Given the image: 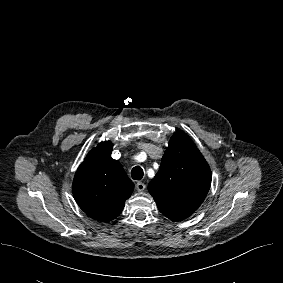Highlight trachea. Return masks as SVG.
Masks as SVG:
<instances>
[{
	"instance_id": "obj_1",
	"label": "trachea",
	"mask_w": 283,
	"mask_h": 283,
	"mask_svg": "<svg viewBox=\"0 0 283 283\" xmlns=\"http://www.w3.org/2000/svg\"><path fill=\"white\" fill-rule=\"evenodd\" d=\"M143 175V169L139 166H136L131 170V176L134 180H141L143 178Z\"/></svg>"
}]
</instances>
